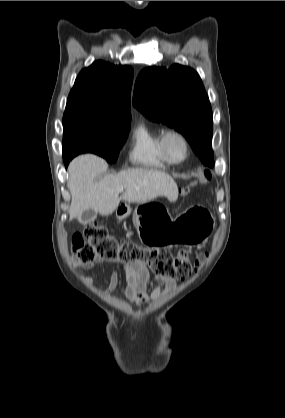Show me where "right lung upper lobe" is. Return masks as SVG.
<instances>
[{"mask_svg":"<svg viewBox=\"0 0 285 418\" xmlns=\"http://www.w3.org/2000/svg\"><path fill=\"white\" fill-rule=\"evenodd\" d=\"M132 80L133 69L130 66L96 61L77 76L65 113L130 124Z\"/></svg>","mask_w":285,"mask_h":418,"instance_id":"right-lung-upper-lobe-1","label":"right lung upper lobe"}]
</instances>
